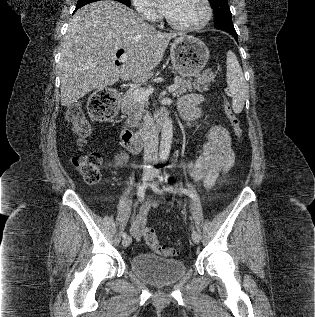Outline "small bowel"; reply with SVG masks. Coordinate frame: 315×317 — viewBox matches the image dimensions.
Segmentation results:
<instances>
[{
    "instance_id": "c3829d8e",
    "label": "small bowel",
    "mask_w": 315,
    "mask_h": 317,
    "mask_svg": "<svg viewBox=\"0 0 315 317\" xmlns=\"http://www.w3.org/2000/svg\"><path fill=\"white\" fill-rule=\"evenodd\" d=\"M201 102V95L188 94L178 103V109L190 129L202 123L203 111L199 107ZM234 159L228 131L221 125L212 124L200 155L195 161L188 163L186 168L195 181L201 182L204 188L209 190L221 176L228 173L234 164ZM114 160L115 165L121 167L129 160V154L122 150L115 155ZM156 206L155 201H147L141 205L139 213L133 218L131 224V233L134 238L143 237L147 213Z\"/></svg>"
}]
</instances>
